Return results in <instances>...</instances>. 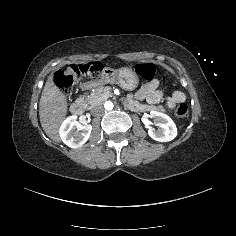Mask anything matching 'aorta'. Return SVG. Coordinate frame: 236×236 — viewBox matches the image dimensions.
<instances>
[{
	"mask_svg": "<svg viewBox=\"0 0 236 236\" xmlns=\"http://www.w3.org/2000/svg\"><path fill=\"white\" fill-rule=\"evenodd\" d=\"M105 110L111 111L114 108V104L111 101H106L104 104Z\"/></svg>",
	"mask_w": 236,
	"mask_h": 236,
	"instance_id": "obj_1",
	"label": "aorta"
}]
</instances>
